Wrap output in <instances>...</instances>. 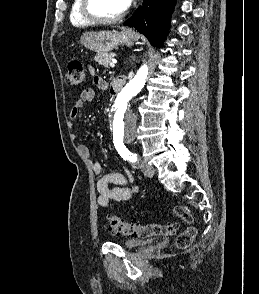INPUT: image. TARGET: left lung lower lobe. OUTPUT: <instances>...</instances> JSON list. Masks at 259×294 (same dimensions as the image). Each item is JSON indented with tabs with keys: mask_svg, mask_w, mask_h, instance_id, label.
I'll return each mask as SVG.
<instances>
[{
	"mask_svg": "<svg viewBox=\"0 0 259 294\" xmlns=\"http://www.w3.org/2000/svg\"><path fill=\"white\" fill-rule=\"evenodd\" d=\"M176 0H143L125 24L143 33L154 46H163Z\"/></svg>",
	"mask_w": 259,
	"mask_h": 294,
	"instance_id": "left-lung-lower-lobe-1",
	"label": "left lung lower lobe"
}]
</instances>
